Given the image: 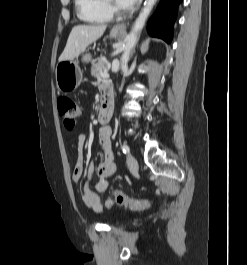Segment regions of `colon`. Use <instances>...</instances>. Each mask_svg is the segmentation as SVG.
I'll use <instances>...</instances> for the list:
<instances>
[{"mask_svg":"<svg viewBox=\"0 0 247 265\" xmlns=\"http://www.w3.org/2000/svg\"><path fill=\"white\" fill-rule=\"evenodd\" d=\"M57 107L65 127L73 129L81 115V107L79 104L70 98L60 97L57 100ZM112 195L116 204L132 211H143L151 205V201L148 199H132L120 191L113 190Z\"/></svg>","mask_w":247,"mask_h":265,"instance_id":"obj_1","label":"colon"}]
</instances>
